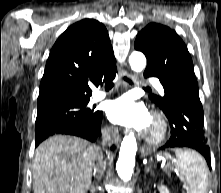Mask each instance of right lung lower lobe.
I'll list each match as a JSON object with an SVG mask.
<instances>
[{"label":"right lung lower lobe","mask_w":221,"mask_h":193,"mask_svg":"<svg viewBox=\"0 0 221 193\" xmlns=\"http://www.w3.org/2000/svg\"><path fill=\"white\" fill-rule=\"evenodd\" d=\"M114 78H115V74L109 80L114 79ZM102 114H103L102 111H99L97 119L94 125H92L91 127L83 128V127L71 126V127L63 128L62 130L54 132V133L36 136L35 146H37L41 141L45 140L47 137L54 135V134L76 135V136L85 138L93 142L100 135ZM113 148L114 146H112V149Z\"/></svg>","instance_id":"1"}]
</instances>
